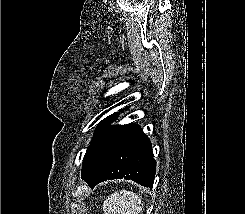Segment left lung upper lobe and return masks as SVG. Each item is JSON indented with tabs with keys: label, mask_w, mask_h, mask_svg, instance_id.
<instances>
[{
	"label": "left lung upper lobe",
	"mask_w": 245,
	"mask_h": 214,
	"mask_svg": "<svg viewBox=\"0 0 245 214\" xmlns=\"http://www.w3.org/2000/svg\"><path fill=\"white\" fill-rule=\"evenodd\" d=\"M115 117L116 115L110 116L109 118H106V121H103L101 125H98L93 140L97 138L110 125L109 122L115 119Z\"/></svg>",
	"instance_id": "1"
}]
</instances>
